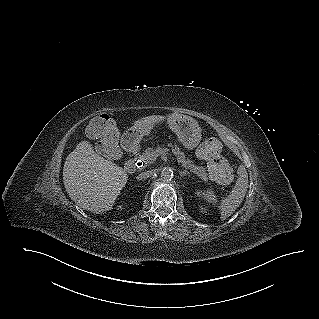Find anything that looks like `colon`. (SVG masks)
Instances as JSON below:
<instances>
[{
	"label": "colon",
	"instance_id": "1",
	"mask_svg": "<svg viewBox=\"0 0 319 319\" xmlns=\"http://www.w3.org/2000/svg\"><path fill=\"white\" fill-rule=\"evenodd\" d=\"M86 132L88 136L98 139L103 143V148L106 150V157L109 160L121 159L123 150L115 148L121 141V134L116 130L112 119L107 114L97 116ZM200 152L203 158L208 163V169L211 177L220 184L228 183L231 180V172L222 157V145L216 137L207 138L200 147Z\"/></svg>",
	"mask_w": 319,
	"mask_h": 319
}]
</instances>
